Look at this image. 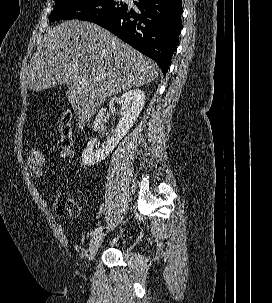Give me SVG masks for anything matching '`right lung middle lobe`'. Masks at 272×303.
<instances>
[{
  "mask_svg": "<svg viewBox=\"0 0 272 303\" xmlns=\"http://www.w3.org/2000/svg\"><path fill=\"white\" fill-rule=\"evenodd\" d=\"M128 7L114 0H56L49 22L78 19L96 22L115 16Z\"/></svg>",
  "mask_w": 272,
  "mask_h": 303,
  "instance_id": "obj_1",
  "label": "right lung middle lobe"
}]
</instances>
